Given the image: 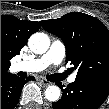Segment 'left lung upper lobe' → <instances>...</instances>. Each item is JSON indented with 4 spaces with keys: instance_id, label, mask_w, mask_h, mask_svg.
<instances>
[{
    "instance_id": "1",
    "label": "left lung upper lobe",
    "mask_w": 109,
    "mask_h": 109,
    "mask_svg": "<svg viewBox=\"0 0 109 109\" xmlns=\"http://www.w3.org/2000/svg\"><path fill=\"white\" fill-rule=\"evenodd\" d=\"M41 25L64 42L66 62L78 70L76 78L109 85V30L100 20L71 12L59 19L41 21Z\"/></svg>"
}]
</instances>
